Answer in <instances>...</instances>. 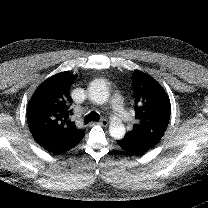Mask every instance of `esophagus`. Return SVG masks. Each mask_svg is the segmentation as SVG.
Returning <instances> with one entry per match:
<instances>
[{"mask_svg": "<svg viewBox=\"0 0 208 208\" xmlns=\"http://www.w3.org/2000/svg\"><path fill=\"white\" fill-rule=\"evenodd\" d=\"M97 124L102 125L104 127L108 126V121L106 119H101Z\"/></svg>", "mask_w": 208, "mask_h": 208, "instance_id": "esophagus-1", "label": "esophagus"}]
</instances>
